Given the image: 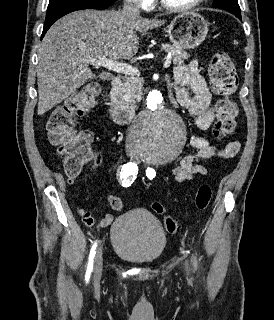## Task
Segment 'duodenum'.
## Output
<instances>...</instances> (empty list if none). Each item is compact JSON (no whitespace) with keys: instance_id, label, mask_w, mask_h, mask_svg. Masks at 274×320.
<instances>
[{"instance_id":"410a0bca","label":"duodenum","mask_w":274,"mask_h":320,"mask_svg":"<svg viewBox=\"0 0 274 320\" xmlns=\"http://www.w3.org/2000/svg\"><path fill=\"white\" fill-rule=\"evenodd\" d=\"M119 85L120 78L118 76H112L108 79L105 105L116 123L128 124L133 120L134 111L130 108L118 105L111 97L112 91H114Z\"/></svg>"}]
</instances>
